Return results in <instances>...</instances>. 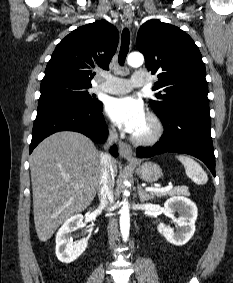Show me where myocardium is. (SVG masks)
I'll return each mask as SVG.
<instances>
[{"mask_svg":"<svg viewBox=\"0 0 233 283\" xmlns=\"http://www.w3.org/2000/svg\"><path fill=\"white\" fill-rule=\"evenodd\" d=\"M146 118L151 122L152 130L145 136L133 134L131 140L140 146H152L160 141L164 134V126L157 114L148 112Z\"/></svg>","mask_w":233,"mask_h":283,"instance_id":"obj_1","label":"myocardium"}]
</instances>
